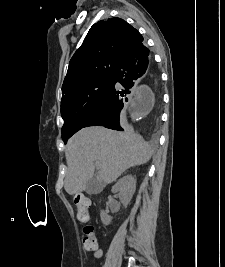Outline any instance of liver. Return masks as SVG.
Segmentation results:
<instances>
[{"label": "liver", "instance_id": "obj_1", "mask_svg": "<svg viewBox=\"0 0 225 267\" xmlns=\"http://www.w3.org/2000/svg\"><path fill=\"white\" fill-rule=\"evenodd\" d=\"M65 155L68 171L64 187L68 194L73 195L86 190L95 167L98 180L108 184L128 168L147 163L152 149L138 134L87 127L70 138Z\"/></svg>", "mask_w": 225, "mask_h": 267}]
</instances>
